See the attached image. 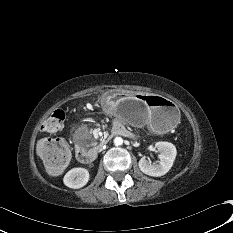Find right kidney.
<instances>
[{
    "label": "right kidney",
    "instance_id": "1",
    "mask_svg": "<svg viewBox=\"0 0 233 233\" xmlns=\"http://www.w3.org/2000/svg\"><path fill=\"white\" fill-rule=\"evenodd\" d=\"M89 180V172L85 168L76 167L69 170L64 178V184L73 189H79L87 184Z\"/></svg>",
    "mask_w": 233,
    "mask_h": 233
}]
</instances>
